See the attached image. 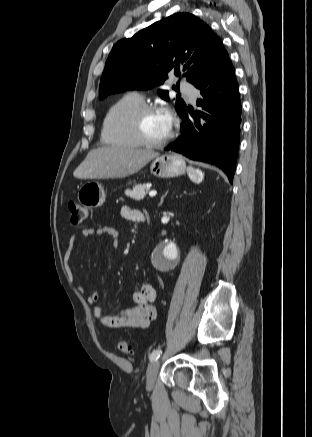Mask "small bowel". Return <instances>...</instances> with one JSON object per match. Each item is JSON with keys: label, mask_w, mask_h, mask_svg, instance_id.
I'll return each instance as SVG.
<instances>
[{"label": "small bowel", "mask_w": 312, "mask_h": 437, "mask_svg": "<svg viewBox=\"0 0 312 437\" xmlns=\"http://www.w3.org/2000/svg\"><path fill=\"white\" fill-rule=\"evenodd\" d=\"M121 215L124 219L132 222L140 223L145 220L142 212L130 206H123ZM79 235L81 237L108 235L115 247L119 245V233L112 226H102L98 229H83ZM75 238L76 236L72 240ZM78 289L81 292L84 290L83 286H79ZM156 300L157 292L155 288L148 283H144L134 292V301L136 303L134 307L124 308L118 314L110 315L104 311L100 303V294L97 288H94L88 295V302L93 306L94 317L102 326L109 328H147L156 317Z\"/></svg>", "instance_id": "1"}]
</instances>
